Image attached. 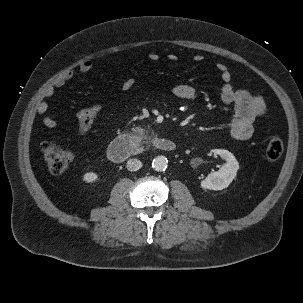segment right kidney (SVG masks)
I'll return each instance as SVG.
<instances>
[{
	"label": "right kidney",
	"mask_w": 303,
	"mask_h": 303,
	"mask_svg": "<svg viewBox=\"0 0 303 303\" xmlns=\"http://www.w3.org/2000/svg\"><path fill=\"white\" fill-rule=\"evenodd\" d=\"M98 179V175L94 172H87L83 175V181L86 183H93Z\"/></svg>",
	"instance_id": "1"
}]
</instances>
